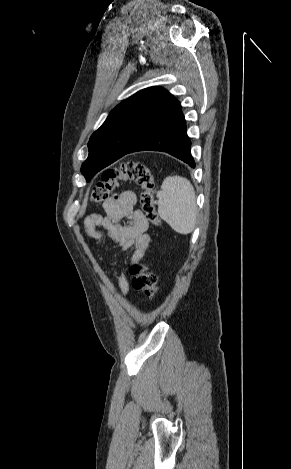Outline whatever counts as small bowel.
Instances as JSON below:
<instances>
[{
  "mask_svg": "<svg viewBox=\"0 0 291 469\" xmlns=\"http://www.w3.org/2000/svg\"><path fill=\"white\" fill-rule=\"evenodd\" d=\"M105 215L93 213L84 222L86 234L93 240L105 235L124 252L132 250V264L139 262L147 253L150 236L149 223L144 214L136 208V196L132 191H124L115 198L104 201ZM128 221L129 224H125ZM122 294L129 291V281L124 273L118 280Z\"/></svg>",
  "mask_w": 291,
  "mask_h": 469,
  "instance_id": "1",
  "label": "small bowel"
}]
</instances>
